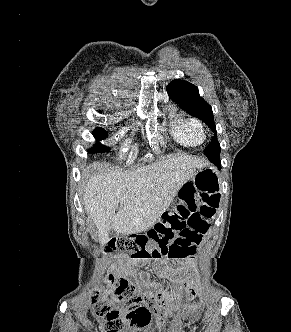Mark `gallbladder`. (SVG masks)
<instances>
[{
	"label": "gallbladder",
	"mask_w": 291,
	"mask_h": 332,
	"mask_svg": "<svg viewBox=\"0 0 291 332\" xmlns=\"http://www.w3.org/2000/svg\"><path fill=\"white\" fill-rule=\"evenodd\" d=\"M117 235V233L113 230V229H110L109 230V237L111 238V237H114V236H116Z\"/></svg>",
	"instance_id": "bac80fb5"
}]
</instances>
